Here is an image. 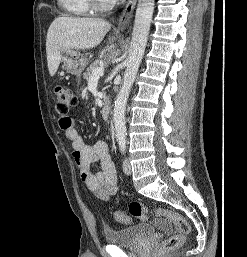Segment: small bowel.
<instances>
[{
    "mask_svg": "<svg viewBox=\"0 0 247 257\" xmlns=\"http://www.w3.org/2000/svg\"><path fill=\"white\" fill-rule=\"evenodd\" d=\"M58 123L71 142L72 156L85 187L103 200L115 195L119 190V185L107 143L103 140H98L92 145L87 144L79 135L71 118L69 125H64L61 118H59ZM97 162L100 164V170L92 173L91 166ZM164 228L169 230L167 227Z\"/></svg>",
    "mask_w": 247,
    "mask_h": 257,
    "instance_id": "1",
    "label": "small bowel"
}]
</instances>
